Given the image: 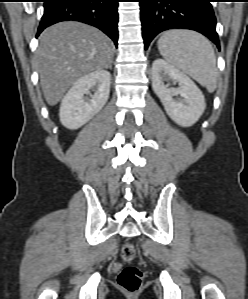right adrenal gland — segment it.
<instances>
[{"label": "right adrenal gland", "instance_id": "right-adrenal-gland-1", "mask_svg": "<svg viewBox=\"0 0 248 299\" xmlns=\"http://www.w3.org/2000/svg\"><path fill=\"white\" fill-rule=\"evenodd\" d=\"M107 68L112 69V63Z\"/></svg>", "mask_w": 248, "mask_h": 299}]
</instances>
